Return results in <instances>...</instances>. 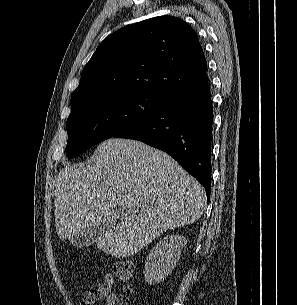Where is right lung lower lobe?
I'll use <instances>...</instances> for the list:
<instances>
[{
	"instance_id": "obj_1",
	"label": "right lung lower lobe",
	"mask_w": 297,
	"mask_h": 305,
	"mask_svg": "<svg viewBox=\"0 0 297 305\" xmlns=\"http://www.w3.org/2000/svg\"><path fill=\"white\" fill-rule=\"evenodd\" d=\"M213 108L208 82L169 96L152 114L114 137L142 141L171 155L211 190Z\"/></svg>"
}]
</instances>
